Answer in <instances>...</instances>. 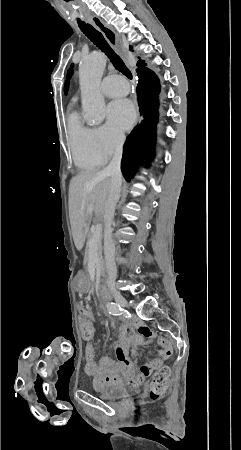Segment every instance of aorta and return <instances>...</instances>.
<instances>
[{"instance_id":"762f6f07","label":"aorta","mask_w":241,"mask_h":450,"mask_svg":"<svg viewBox=\"0 0 241 450\" xmlns=\"http://www.w3.org/2000/svg\"><path fill=\"white\" fill-rule=\"evenodd\" d=\"M105 66V55L94 52L84 58L79 67L82 108L91 124L101 123L105 118V101L99 90Z\"/></svg>"}]
</instances>
